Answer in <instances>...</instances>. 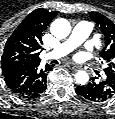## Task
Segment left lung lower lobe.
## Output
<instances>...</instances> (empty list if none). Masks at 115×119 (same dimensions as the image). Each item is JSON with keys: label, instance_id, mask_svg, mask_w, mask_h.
I'll list each match as a JSON object with an SVG mask.
<instances>
[{"label": "left lung lower lobe", "instance_id": "obj_1", "mask_svg": "<svg viewBox=\"0 0 115 119\" xmlns=\"http://www.w3.org/2000/svg\"><path fill=\"white\" fill-rule=\"evenodd\" d=\"M76 93L91 101H106L115 95V77L106 75L104 80L97 82L92 79L86 86H78Z\"/></svg>", "mask_w": 115, "mask_h": 119}]
</instances>
